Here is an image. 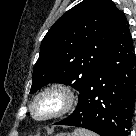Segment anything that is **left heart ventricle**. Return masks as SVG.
Masks as SVG:
<instances>
[{"label": "left heart ventricle", "mask_w": 136, "mask_h": 136, "mask_svg": "<svg viewBox=\"0 0 136 136\" xmlns=\"http://www.w3.org/2000/svg\"><path fill=\"white\" fill-rule=\"evenodd\" d=\"M60 106V99L57 95H48L41 98L36 106L35 113L38 116H46L56 111Z\"/></svg>", "instance_id": "1"}]
</instances>
